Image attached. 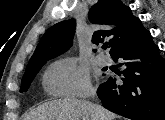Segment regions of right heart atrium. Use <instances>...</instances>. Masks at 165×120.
<instances>
[{
  "instance_id": "right-heart-atrium-1",
  "label": "right heart atrium",
  "mask_w": 165,
  "mask_h": 120,
  "mask_svg": "<svg viewBox=\"0 0 165 120\" xmlns=\"http://www.w3.org/2000/svg\"><path fill=\"white\" fill-rule=\"evenodd\" d=\"M44 84L52 95L85 98L92 94L88 72L73 58L60 59L49 66Z\"/></svg>"
}]
</instances>
